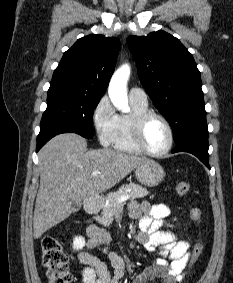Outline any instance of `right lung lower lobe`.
Listing matches in <instances>:
<instances>
[{
  "label": "right lung lower lobe",
  "instance_id": "right-lung-lower-lobe-1",
  "mask_svg": "<svg viewBox=\"0 0 233 283\" xmlns=\"http://www.w3.org/2000/svg\"><path fill=\"white\" fill-rule=\"evenodd\" d=\"M68 131L66 130H53L50 131L44 135H38L37 137V147H36V151L38 152L40 150V148L48 141L50 140L52 137L60 134V133H66Z\"/></svg>",
  "mask_w": 233,
  "mask_h": 283
}]
</instances>
